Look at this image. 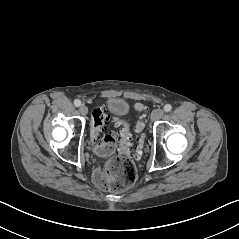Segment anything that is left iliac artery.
<instances>
[{"instance_id":"obj_1","label":"left iliac artery","mask_w":239,"mask_h":239,"mask_svg":"<svg viewBox=\"0 0 239 239\" xmlns=\"http://www.w3.org/2000/svg\"><path fill=\"white\" fill-rule=\"evenodd\" d=\"M171 109H172V106H171L170 104H166V105L164 106V111H165V112H170Z\"/></svg>"}]
</instances>
